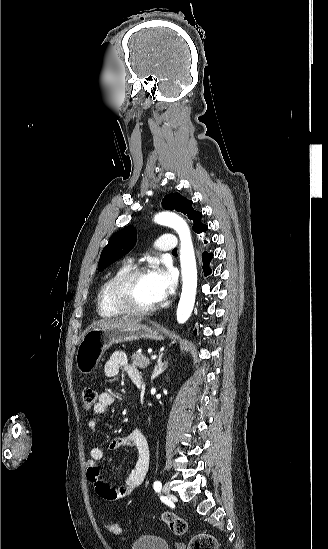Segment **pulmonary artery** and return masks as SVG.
Masks as SVG:
<instances>
[{
	"mask_svg": "<svg viewBox=\"0 0 328 549\" xmlns=\"http://www.w3.org/2000/svg\"><path fill=\"white\" fill-rule=\"evenodd\" d=\"M177 245V240L175 237H163L161 241H154L150 248L154 252H170Z\"/></svg>",
	"mask_w": 328,
	"mask_h": 549,
	"instance_id": "1",
	"label": "pulmonary artery"
}]
</instances>
